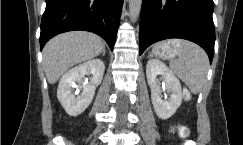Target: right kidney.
<instances>
[{
    "label": "right kidney",
    "mask_w": 243,
    "mask_h": 145,
    "mask_svg": "<svg viewBox=\"0 0 243 145\" xmlns=\"http://www.w3.org/2000/svg\"><path fill=\"white\" fill-rule=\"evenodd\" d=\"M104 70L102 60L92 59L70 69L61 77L57 97L67 114L78 116L90 105L95 89L103 79ZM89 74L92 77L88 82L86 75ZM74 88L77 90L73 93Z\"/></svg>",
    "instance_id": "right-kidney-1"
}]
</instances>
